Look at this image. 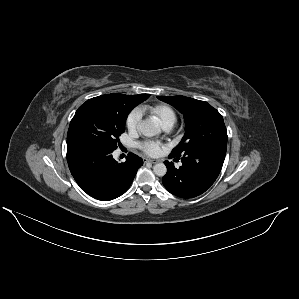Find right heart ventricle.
<instances>
[{
  "label": "right heart ventricle",
  "mask_w": 299,
  "mask_h": 299,
  "mask_svg": "<svg viewBox=\"0 0 299 299\" xmlns=\"http://www.w3.org/2000/svg\"><path fill=\"white\" fill-rule=\"evenodd\" d=\"M151 113L163 126H173L176 121V113L172 107L166 104H158L150 108Z\"/></svg>",
  "instance_id": "e07e8e85"
}]
</instances>
